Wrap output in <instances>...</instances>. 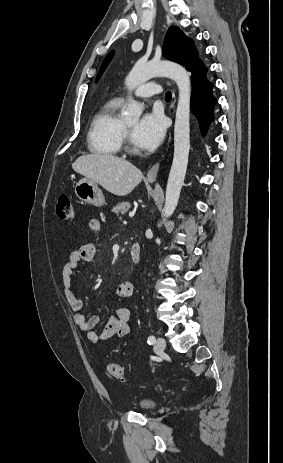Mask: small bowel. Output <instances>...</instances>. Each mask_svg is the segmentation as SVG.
Returning a JSON list of instances; mask_svg holds the SVG:
<instances>
[{
  "label": "small bowel",
  "instance_id": "c3829d8e",
  "mask_svg": "<svg viewBox=\"0 0 283 463\" xmlns=\"http://www.w3.org/2000/svg\"><path fill=\"white\" fill-rule=\"evenodd\" d=\"M89 228L92 232L98 233L101 223L97 218L89 220ZM96 255V245L87 243L79 248L70 251L62 269L63 291L68 302L74 322L84 331L92 343L108 340L112 337H125L130 330L131 311L127 307H118L115 314L110 316L100 333L95 331L100 319L97 315L86 317L83 312V303L76 296L72 285L73 272L83 263H90ZM134 293V285L131 282H122L116 289L117 300L131 297Z\"/></svg>",
  "mask_w": 283,
  "mask_h": 463
}]
</instances>
